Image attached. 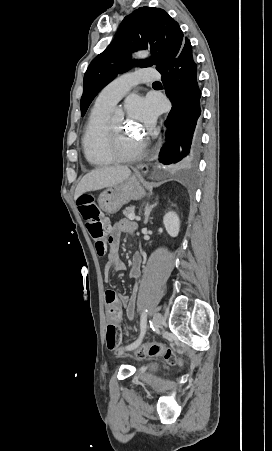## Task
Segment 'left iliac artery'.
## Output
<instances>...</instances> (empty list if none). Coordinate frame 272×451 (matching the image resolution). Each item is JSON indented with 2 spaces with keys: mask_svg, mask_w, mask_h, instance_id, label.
Masks as SVG:
<instances>
[{
  "mask_svg": "<svg viewBox=\"0 0 272 451\" xmlns=\"http://www.w3.org/2000/svg\"><path fill=\"white\" fill-rule=\"evenodd\" d=\"M147 312H148L147 309H145L142 312V315H141V319H140L141 334H140V337L134 343L128 345L126 347L127 350H132V349L138 347L140 345V343L142 342V339L144 338L145 331H146Z\"/></svg>",
  "mask_w": 272,
  "mask_h": 451,
  "instance_id": "44dca946",
  "label": "left iliac artery"
}]
</instances>
